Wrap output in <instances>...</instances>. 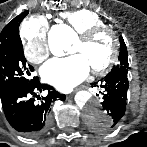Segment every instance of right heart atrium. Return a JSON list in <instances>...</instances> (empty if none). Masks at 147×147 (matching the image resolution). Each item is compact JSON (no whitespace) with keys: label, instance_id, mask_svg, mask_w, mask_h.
<instances>
[{"label":"right heart atrium","instance_id":"1","mask_svg":"<svg viewBox=\"0 0 147 147\" xmlns=\"http://www.w3.org/2000/svg\"><path fill=\"white\" fill-rule=\"evenodd\" d=\"M49 24L41 16L26 20L21 29L23 50L26 58L33 63H41L49 54L47 34Z\"/></svg>","mask_w":147,"mask_h":147}]
</instances>
